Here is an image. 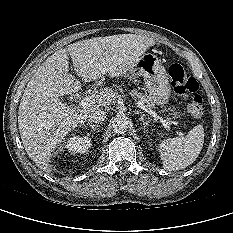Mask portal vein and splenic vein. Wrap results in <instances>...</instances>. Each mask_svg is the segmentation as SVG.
<instances>
[{
    "instance_id": "18ae733b",
    "label": "portal vein and splenic vein",
    "mask_w": 233,
    "mask_h": 233,
    "mask_svg": "<svg viewBox=\"0 0 233 233\" xmlns=\"http://www.w3.org/2000/svg\"><path fill=\"white\" fill-rule=\"evenodd\" d=\"M93 104H95V98L94 96H88V97H85L81 100V103L80 105L83 107V108H87V107H90L92 106ZM137 106L139 108H141L142 110H144L145 112L149 113L150 115H152L155 119L159 120L163 126L165 127V129L167 131H170L171 130V127L169 126L170 125V121L164 119L163 117H160L159 115H157L153 110H151L150 108L146 107L143 103L141 102H137ZM173 123L174 125H177L178 122H171ZM179 136H183L184 134L182 132H179L177 131L176 132Z\"/></svg>"
}]
</instances>
